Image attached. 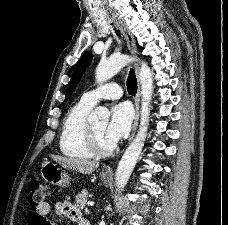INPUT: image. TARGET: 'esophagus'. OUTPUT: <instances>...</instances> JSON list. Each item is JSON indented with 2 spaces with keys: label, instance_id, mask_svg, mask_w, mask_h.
I'll return each instance as SVG.
<instances>
[{
  "label": "esophagus",
  "instance_id": "1",
  "mask_svg": "<svg viewBox=\"0 0 228 225\" xmlns=\"http://www.w3.org/2000/svg\"><path fill=\"white\" fill-rule=\"evenodd\" d=\"M115 20H116L117 25L122 30V32H123V34L125 36L128 49L130 50L132 55L136 56L137 47H136L134 36L127 29L126 25L119 18H115ZM134 68H135V74H136V78H137V93H136V96L134 98L135 119H134L133 130H132V133L130 135L129 141H131L134 138V135H135L137 127H138L139 109H140V95H141L140 94V80H139V66L137 64H135ZM102 176L105 177V178L113 177L112 168L110 166L103 167Z\"/></svg>",
  "mask_w": 228,
  "mask_h": 225
}]
</instances>
